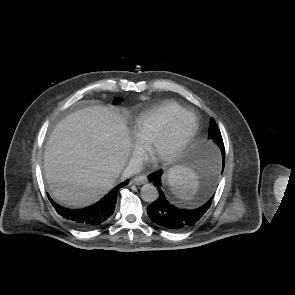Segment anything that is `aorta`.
Here are the masks:
<instances>
[{
    "label": "aorta",
    "mask_w": 295,
    "mask_h": 295,
    "mask_svg": "<svg viewBox=\"0 0 295 295\" xmlns=\"http://www.w3.org/2000/svg\"><path fill=\"white\" fill-rule=\"evenodd\" d=\"M140 194L141 198L148 203L154 202L159 197L158 190L153 184H144L141 188Z\"/></svg>",
    "instance_id": "762f6f07"
}]
</instances>
